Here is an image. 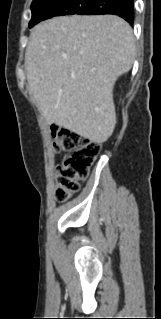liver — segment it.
Masks as SVG:
<instances>
[{
  "mask_svg": "<svg viewBox=\"0 0 161 319\" xmlns=\"http://www.w3.org/2000/svg\"><path fill=\"white\" fill-rule=\"evenodd\" d=\"M135 56L132 28L118 16H63L36 25L25 66L47 124L105 142L116 124L114 84Z\"/></svg>",
  "mask_w": 161,
  "mask_h": 319,
  "instance_id": "obj_1",
  "label": "liver"
}]
</instances>
